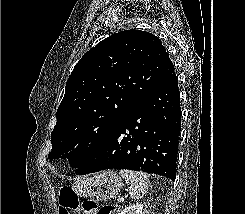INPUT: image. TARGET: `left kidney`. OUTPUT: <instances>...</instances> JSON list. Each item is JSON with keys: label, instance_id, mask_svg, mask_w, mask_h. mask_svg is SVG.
<instances>
[{"label": "left kidney", "instance_id": "obj_1", "mask_svg": "<svg viewBox=\"0 0 245 214\" xmlns=\"http://www.w3.org/2000/svg\"><path fill=\"white\" fill-rule=\"evenodd\" d=\"M146 203H137L130 205L128 207H125L119 214H144V206Z\"/></svg>", "mask_w": 245, "mask_h": 214}]
</instances>
